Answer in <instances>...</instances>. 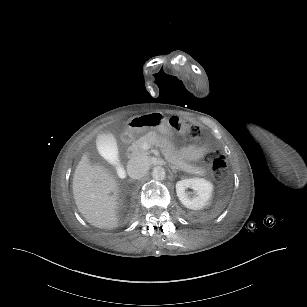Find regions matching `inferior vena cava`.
Masks as SVG:
<instances>
[{"label": "inferior vena cava", "mask_w": 307, "mask_h": 307, "mask_svg": "<svg viewBox=\"0 0 307 307\" xmlns=\"http://www.w3.org/2000/svg\"><path fill=\"white\" fill-rule=\"evenodd\" d=\"M147 170L145 163L138 158H132L128 161L127 173L132 179H141L146 175Z\"/></svg>", "instance_id": "1"}]
</instances>
